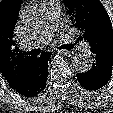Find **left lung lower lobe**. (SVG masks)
Wrapping results in <instances>:
<instances>
[{"label": "left lung lower lobe", "mask_w": 113, "mask_h": 113, "mask_svg": "<svg viewBox=\"0 0 113 113\" xmlns=\"http://www.w3.org/2000/svg\"><path fill=\"white\" fill-rule=\"evenodd\" d=\"M95 62L85 73H77L78 82L86 89L98 90L105 86L111 78L113 68V54L90 49Z\"/></svg>", "instance_id": "1"}]
</instances>
